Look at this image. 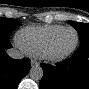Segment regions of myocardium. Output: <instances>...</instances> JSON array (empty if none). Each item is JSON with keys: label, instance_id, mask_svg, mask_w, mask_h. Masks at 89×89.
Here are the masks:
<instances>
[{"label": "myocardium", "instance_id": "myocardium-1", "mask_svg": "<svg viewBox=\"0 0 89 89\" xmlns=\"http://www.w3.org/2000/svg\"><path fill=\"white\" fill-rule=\"evenodd\" d=\"M73 31L75 33V42L74 44L72 45V47L67 50L66 52L64 53H61V54H53L51 52V46H52V43L53 41L63 32L65 31ZM79 41H80V36H79V33L78 31L74 28V27H71V26H66V27H62L59 31H57L55 34H53L49 39L48 41L46 42L45 46H44V49H43V55L42 57L48 61H53V62H58V61H62L66 58H68L69 56H71L74 51L76 50V48L78 47V44H79Z\"/></svg>", "mask_w": 89, "mask_h": 89}]
</instances>
